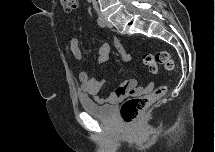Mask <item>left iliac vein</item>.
I'll use <instances>...</instances> for the list:
<instances>
[{"label":"left iliac vein","instance_id":"1","mask_svg":"<svg viewBox=\"0 0 215 152\" xmlns=\"http://www.w3.org/2000/svg\"><path fill=\"white\" fill-rule=\"evenodd\" d=\"M100 16L104 20V22L106 23L107 27L111 28L112 24L109 21H107L106 18L103 15H100Z\"/></svg>","mask_w":215,"mask_h":152}]
</instances>
